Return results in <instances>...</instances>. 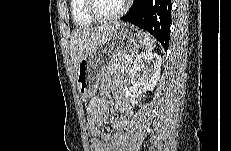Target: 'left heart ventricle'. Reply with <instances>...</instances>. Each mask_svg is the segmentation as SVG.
I'll list each match as a JSON object with an SVG mask.
<instances>
[{
  "label": "left heart ventricle",
  "mask_w": 231,
  "mask_h": 151,
  "mask_svg": "<svg viewBox=\"0 0 231 151\" xmlns=\"http://www.w3.org/2000/svg\"><path fill=\"white\" fill-rule=\"evenodd\" d=\"M123 2L122 0H96V10L100 15L115 14L120 10Z\"/></svg>",
  "instance_id": "b2bd125f"
}]
</instances>
